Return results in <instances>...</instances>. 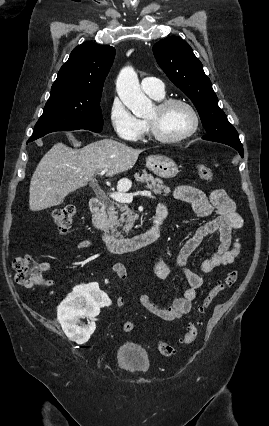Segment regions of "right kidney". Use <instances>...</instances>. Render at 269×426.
<instances>
[{"label":"right kidney","mask_w":269,"mask_h":426,"mask_svg":"<svg viewBox=\"0 0 269 426\" xmlns=\"http://www.w3.org/2000/svg\"><path fill=\"white\" fill-rule=\"evenodd\" d=\"M100 307L108 311L112 306L98 284H83L74 288L59 305L57 312L58 321L67 337L78 344L87 342L96 328L94 318L99 314ZM83 317L90 320L87 325L80 324Z\"/></svg>","instance_id":"ca27d5eb"}]
</instances>
